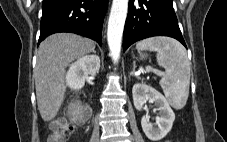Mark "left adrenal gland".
<instances>
[{
  "instance_id": "left-adrenal-gland-1",
  "label": "left adrenal gland",
  "mask_w": 227,
  "mask_h": 142,
  "mask_svg": "<svg viewBox=\"0 0 227 142\" xmlns=\"http://www.w3.org/2000/svg\"><path fill=\"white\" fill-rule=\"evenodd\" d=\"M135 69H136V65H135V62H133V69L132 71L130 72V77L131 76H135L136 78L139 79V76L137 74H135Z\"/></svg>"
}]
</instances>
